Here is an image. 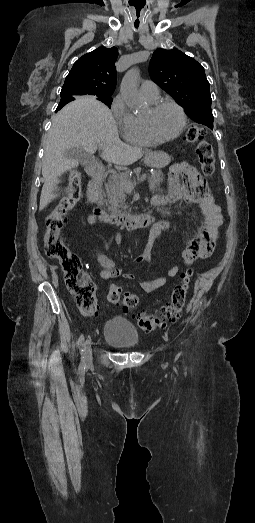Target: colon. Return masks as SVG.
Here are the masks:
<instances>
[{
	"mask_svg": "<svg viewBox=\"0 0 255 523\" xmlns=\"http://www.w3.org/2000/svg\"><path fill=\"white\" fill-rule=\"evenodd\" d=\"M185 138L187 142L196 144V154L202 173L205 176L213 175L215 171L214 152L211 144L205 139L203 128L191 126ZM80 197V178L78 173L73 171L70 174L66 196L46 218L45 252L49 258L57 260L61 264L66 287L74 296L80 312L85 315H93L98 309L95 284L83 269L80 258L71 252L60 239V231L67 216ZM191 275L190 270L181 273L180 280L172 287L169 301L159 311L138 314L135 318L138 327L144 331H152L175 322L184 307ZM106 297L109 303L122 304L125 310L136 307L139 302L138 296L133 293H126L121 297L117 287L109 288Z\"/></svg>",
	"mask_w": 255,
	"mask_h": 523,
	"instance_id": "5ec220e1",
	"label": "colon"
}]
</instances>
